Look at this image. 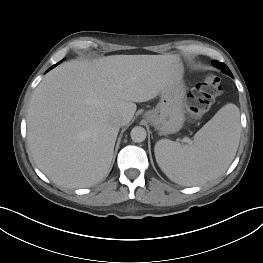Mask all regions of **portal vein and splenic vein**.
<instances>
[{
    "mask_svg": "<svg viewBox=\"0 0 263 263\" xmlns=\"http://www.w3.org/2000/svg\"><path fill=\"white\" fill-rule=\"evenodd\" d=\"M183 140H184V142H188V143L191 142L190 139H188V138H184Z\"/></svg>",
    "mask_w": 263,
    "mask_h": 263,
    "instance_id": "obj_1",
    "label": "portal vein and splenic vein"
}]
</instances>
